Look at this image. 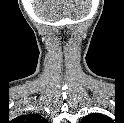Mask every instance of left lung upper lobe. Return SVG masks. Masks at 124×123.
<instances>
[{
    "mask_svg": "<svg viewBox=\"0 0 124 123\" xmlns=\"http://www.w3.org/2000/svg\"><path fill=\"white\" fill-rule=\"evenodd\" d=\"M105 118L103 115L95 113L84 117L81 123H99V120Z\"/></svg>",
    "mask_w": 124,
    "mask_h": 123,
    "instance_id": "left-lung-upper-lobe-1",
    "label": "left lung upper lobe"
}]
</instances>
